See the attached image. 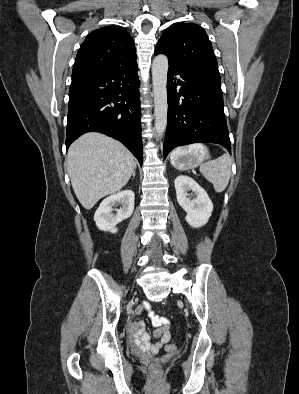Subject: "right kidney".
I'll return each instance as SVG.
<instances>
[{
	"mask_svg": "<svg viewBox=\"0 0 299 394\" xmlns=\"http://www.w3.org/2000/svg\"><path fill=\"white\" fill-rule=\"evenodd\" d=\"M134 200L135 194L132 190L119 191L105 198L94 214L97 228L101 231L116 233V225L132 215ZM117 203L121 204L122 208L117 210L116 215H113V206Z\"/></svg>",
	"mask_w": 299,
	"mask_h": 394,
	"instance_id": "1",
	"label": "right kidney"
}]
</instances>
